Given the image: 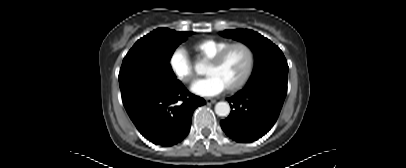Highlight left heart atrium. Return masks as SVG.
I'll return each instance as SVG.
<instances>
[{
	"label": "left heart atrium",
	"instance_id": "obj_1",
	"mask_svg": "<svg viewBox=\"0 0 406 168\" xmlns=\"http://www.w3.org/2000/svg\"><path fill=\"white\" fill-rule=\"evenodd\" d=\"M225 89L224 85L213 75H208L205 78L196 80L191 85V91L203 97L218 95Z\"/></svg>",
	"mask_w": 406,
	"mask_h": 168
}]
</instances>
